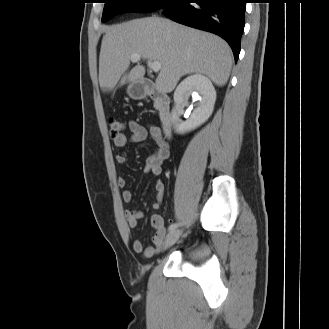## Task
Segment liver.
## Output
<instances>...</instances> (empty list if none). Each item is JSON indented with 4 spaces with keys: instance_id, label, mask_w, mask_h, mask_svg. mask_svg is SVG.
<instances>
[{
    "instance_id": "obj_1",
    "label": "liver",
    "mask_w": 329,
    "mask_h": 329,
    "mask_svg": "<svg viewBox=\"0 0 329 329\" xmlns=\"http://www.w3.org/2000/svg\"><path fill=\"white\" fill-rule=\"evenodd\" d=\"M133 54L161 63L156 87L171 92L187 74L207 76L216 85L227 83L232 55L220 37L160 17L134 19L107 27L99 57V83L111 91L120 81L143 80L145 68L136 65L126 74Z\"/></svg>"
}]
</instances>
